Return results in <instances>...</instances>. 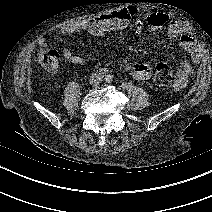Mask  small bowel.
Returning a JSON list of instances; mask_svg holds the SVG:
<instances>
[{
    "mask_svg": "<svg viewBox=\"0 0 212 212\" xmlns=\"http://www.w3.org/2000/svg\"><path fill=\"white\" fill-rule=\"evenodd\" d=\"M141 17L153 28L167 26L169 38L177 43L185 54L186 58L180 61L176 69L173 85L175 89L184 87L193 74L189 58L195 61L199 60L200 50L197 41L187 34L188 23L182 18L172 19L164 13L154 11L141 12L135 6H126L111 12H104L95 18L61 25L57 28V32L64 35L87 34L99 37L108 32L123 30L132 21L135 22L136 28L140 29L142 27ZM38 45L41 48H46L48 45L47 39L40 37ZM62 53L63 57L70 63L78 65L87 63L85 57L76 55L67 46L63 48ZM122 68L137 80H148L151 77V68L145 63L126 62Z\"/></svg>",
    "mask_w": 212,
    "mask_h": 212,
    "instance_id": "small-bowel-1",
    "label": "small bowel"
}]
</instances>
